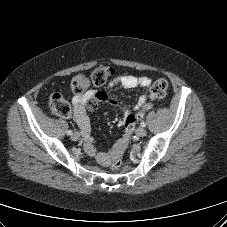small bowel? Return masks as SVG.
I'll use <instances>...</instances> for the list:
<instances>
[{
    "label": "small bowel",
    "mask_w": 227,
    "mask_h": 227,
    "mask_svg": "<svg viewBox=\"0 0 227 227\" xmlns=\"http://www.w3.org/2000/svg\"><path fill=\"white\" fill-rule=\"evenodd\" d=\"M151 84L152 79L144 75L136 76L120 74L110 81V87L115 85H120L126 89L142 87L145 90V93L138 98L137 102L131 109L122 110L120 123L125 127V134L115 143L111 150L106 152H97L96 150L95 143L92 138L90 120L86 114V107L89 110H93L102 101L109 100L114 104H116V101L109 99L108 96L103 92L94 94L92 91H88L86 93L76 94L73 96V120L82 133L85 150L88 154L94 156L97 162L101 165L107 166L112 158H114L117 154L122 153L127 147L129 143V136L134 124L131 126H126V120L129 116H132L135 114V112H138L140 108L148 102V91L151 87Z\"/></svg>",
    "instance_id": "small-bowel-1"
}]
</instances>
